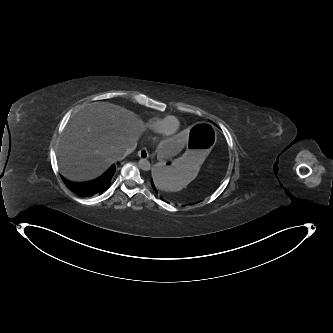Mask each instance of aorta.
<instances>
[{
    "instance_id": "1",
    "label": "aorta",
    "mask_w": 333,
    "mask_h": 333,
    "mask_svg": "<svg viewBox=\"0 0 333 333\" xmlns=\"http://www.w3.org/2000/svg\"><path fill=\"white\" fill-rule=\"evenodd\" d=\"M138 166L140 169H142L144 171H148L151 169V164L147 159H140Z\"/></svg>"
}]
</instances>
